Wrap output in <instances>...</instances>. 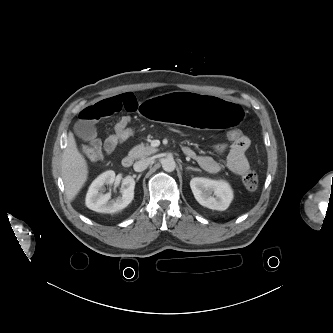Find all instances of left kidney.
Masks as SVG:
<instances>
[{
	"label": "left kidney",
	"mask_w": 333,
	"mask_h": 333,
	"mask_svg": "<svg viewBox=\"0 0 333 333\" xmlns=\"http://www.w3.org/2000/svg\"><path fill=\"white\" fill-rule=\"evenodd\" d=\"M190 187L199 204L209 209L224 211L233 199L230 185L223 180L196 177L190 181Z\"/></svg>",
	"instance_id": "obj_1"
}]
</instances>
